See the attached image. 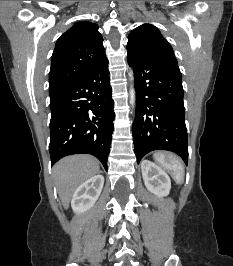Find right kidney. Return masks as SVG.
<instances>
[{
  "label": "right kidney",
  "mask_w": 233,
  "mask_h": 266,
  "mask_svg": "<svg viewBox=\"0 0 233 266\" xmlns=\"http://www.w3.org/2000/svg\"><path fill=\"white\" fill-rule=\"evenodd\" d=\"M104 185V177L95 175L82 183L74 192L71 207L77 214L90 209L101 194Z\"/></svg>",
  "instance_id": "right-kidney-1"
}]
</instances>
